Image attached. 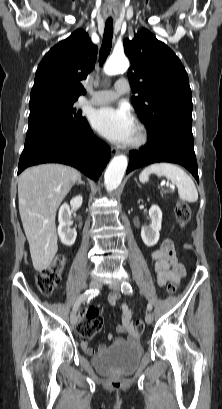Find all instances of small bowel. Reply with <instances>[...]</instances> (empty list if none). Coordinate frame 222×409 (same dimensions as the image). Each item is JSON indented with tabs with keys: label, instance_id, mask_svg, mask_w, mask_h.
Wrapping results in <instances>:
<instances>
[{
	"label": "small bowel",
	"instance_id": "small-bowel-1",
	"mask_svg": "<svg viewBox=\"0 0 222 409\" xmlns=\"http://www.w3.org/2000/svg\"><path fill=\"white\" fill-rule=\"evenodd\" d=\"M151 258L155 263V272L157 283L160 287H164L167 283H180L184 274L182 270L185 266L183 260H177L175 246L169 239L163 240L160 247L151 253ZM182 271V272H181ZM120 293H110L108 295V302L111 306H116L120 299ZM121 323L116 327L115 332L108 334V339L114 344H123L126 342L137 343L138 336L132 321L131 308L122 303L120 306ZM120 334L121 336H116ZM82 348L87 355H94L95 350L88 345L87 339L81 342ZM108 346L103 344L99 346V351L104 352Z\"/></svg>",
	"mask_w": 222,
	"mask_h": 409
}]
</instances>
